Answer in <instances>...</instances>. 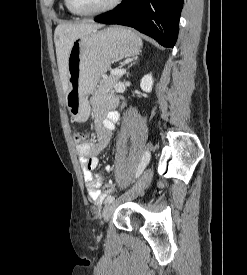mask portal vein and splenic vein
<instances>
[{
  "label": "portal vein and splenic vein",
  "instance_id": "portal-vein-and-splenic-vein-1",
  "mask_svg": "<svg viewBox=\"0 0 247 275\" xmlns=\"http://www.w3.org/2000/svg\"><path fill=\"white\" fill-rule=\"evenodd\" d=\"M124 74V70L121 69H114L111 71V75L113 76H121Z\"/></svg>",
  "mask_w": 247,
  "mask_h": 275
}]
</instances>
